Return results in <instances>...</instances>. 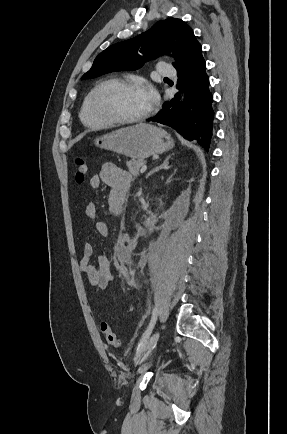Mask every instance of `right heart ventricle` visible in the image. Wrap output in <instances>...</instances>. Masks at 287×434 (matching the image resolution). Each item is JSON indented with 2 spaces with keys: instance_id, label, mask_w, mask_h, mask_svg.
<instances>
[{
  "instance_id": "obj_1",
  "label": "right heart ventricle",
  "mask_w": 287,
  "mask_h": 434,
  "mask_svg": "<svg viewBox=\"0 0 287 434\" xmlns=\"http://www.w3.org/2000/svg\"><path fill=\"white\" fill-rule=\"evenodd\" d=\"M97 86L93 87L83 98L82 103H81V107H80V112H79V116L81 121L89 127H101L104 126L105 124L100 121L99 119H97L92 111H91V107H90V101H91V97L92 94L95 90Z\"/></svg>"
}]
</instances>
